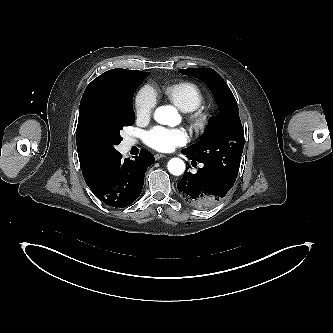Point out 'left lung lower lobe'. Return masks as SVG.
<instances>
[{
  "label": "left lung lower lobe",
  "mask_w": 333,
  "mask_h": 333,
  "mask_svg": "<svg viewBox=\"0 0 333 333\" xmlns=\"http://www.w3.org/2000/svg\"><path fill=\"white\" fill-rule=\"evenodd\" d=\"M181 152L196 163L186 152ZM233 185V181L204 164L196 174L185 172L177 188L187 204L198 209H210L226 196Z\"/></svg>",
  "instance_id": "left-lung-lower-lobe-1"
}]
</instances>
